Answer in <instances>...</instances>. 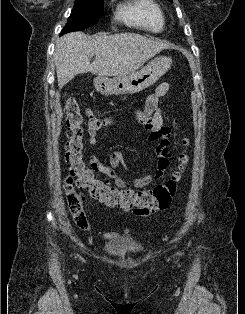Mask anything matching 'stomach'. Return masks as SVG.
Instances as JSON below:
<instances>
[{"label": "stomach", "instance_id": "obj_1", "mask_svg": "<svg viewBox=\"0 0 245 314\" xmlns=\"http://www.w3.org/2000/svg\"><path fill=\"white\" fill-rule=\"evenodd\" d=\"M172 60L160 56L139 71L109 78L98 76L94 79L95 89L103 95H123L139 93L153 85L171 68Z\"/></svg>", "mask_w": 245, "mask_h": 314}]
</instances>
